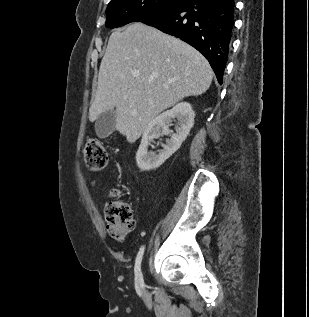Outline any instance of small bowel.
<instances>
[{
  "label": "small bowel",
  "instance_id": "1",
  "mask_svg": "<svg viewBox=\"0 0 309 317\" xmlns=\"http://www.w3.org/2000/svg\"><path fill=\"white\" fill-rule=\"evenodd\" d=\"M95 184H96V182L93 180V181H92V185H95Z\"/></svg>",
  "mask_w": 309,
  "mask_h": 317
}]
</instances>
